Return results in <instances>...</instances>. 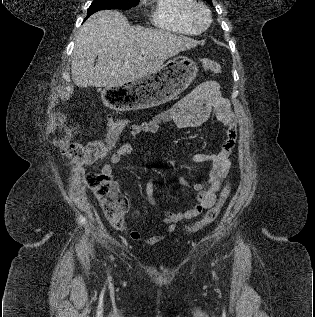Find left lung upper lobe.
I'll list each match as a JSON object with an SVG mask.
<instances>
[{"instance_id":"left-lung-upper-lobe-1","label":"left lung upper lobe","mask_w":315,"mask_h":317,"mask_svg":"<svg viewBox=\"0 0 315 317\" xmlns=\"http://www.w3.org/2000/svg\"><path fill=\"white\" fill-rule=\"evenodd\" d=\"M209 4H212V0H206Z\"/></svg>"}]
</instances>
